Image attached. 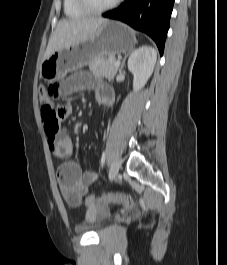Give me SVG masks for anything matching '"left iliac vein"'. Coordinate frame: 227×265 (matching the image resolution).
<instances>
[{
  "label": "left iliac vein",
  "instance_id": "1",
  "mask_svg": "<svg viewBox=\"0 0 227 265\" xmlns=\"http://www.w3.org/2000/svg\"><path fill=\"white\" fill-rule=\"evenodd\" d=\"M119 169H120V161L118 159H115L109 170L110 181L116 178V176L118 175Z\"/></svg>",
  "mask_w": 227,
  "mask_h": 265
}]
</instances>
